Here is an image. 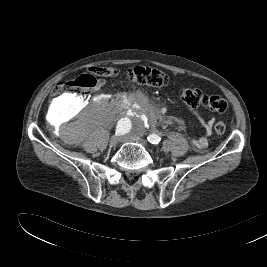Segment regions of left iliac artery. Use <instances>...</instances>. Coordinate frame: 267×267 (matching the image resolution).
Instances as JSON below:
<instances>
[{"label": "left iliac artery", "mask_w": 267, "mask_h": 267, "mask_svg": "<svg viewBox=\"0 0 267 267\" xmlns=\"http://www.w3.org/2000/svg\"><path fill=\"white\" fill-rule=\"evenodd\" d=\"M147 140L151 143V144H154V145H157L161 142V137L156 135V134H150L148 137H147Z\"/></svg>", "instance_id": "44dca946"}]
</instances>
